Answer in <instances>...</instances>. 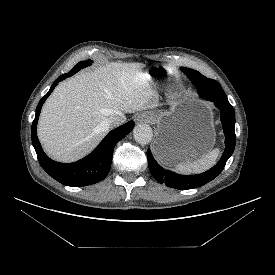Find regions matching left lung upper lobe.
I'll use <instances>...</instances> for the list:
<instances>
[{
    "instance_id": "1",
    "label": "left lung upper lobe",
    "mask_w": 275,
    "mask_h": 275,
    "mask_svg": "<svg viewBox=\"0 0 275 275\" xmlns=\"http://www.w3.org/2000/svg\"><path fill=\"white\" fill-rule=\"evenodd\" d=\"M181 69H182V71L184 72V74H185L187 77H188V75H189V76H197V77L203 76V75H202L201 73H199L198 71L193 70V69H190V68H184V67H182ZM213 83H214V88H215L216 92L219 93V94L222 95V96H226V95L224 94L222 88L220 87L219 83H218L217 81H215V80H214ZM195 85H196V84H195ZM196 87H197L198 94H199L200 96H203L205 93H206V94H209V93H211V91H212V90L210 91L209 89L204 88L203 86H196ZM206 90H209L210 92H207Z\"/></svg>"
}]
</instances>
